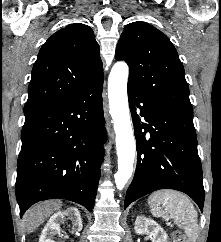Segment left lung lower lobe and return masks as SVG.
<instances>
[{
  "label": "left lung lower lobe",
  "mask_w": 221,
  "mask_h": 242,
  "mask_svg": "<svg viewBox=\"0 0 221 242\" xmlns=\"http://www.w3.org/2000/svg\"><path fill=\"white\" fill-rule=\"evenodd\" d=\"M128 99L137 167L124 209L153 191L174 189L189 195L203 211L205 192L193 116L160 106L130 85Z\"/></svg>",
  "instance_id": "obj_1"
}]
</instances>
